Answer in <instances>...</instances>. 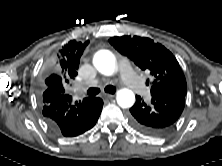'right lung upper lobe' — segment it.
I'll list each match as a JSON object with an SVG mask.
<instances>
[{"label": "right lung upper lobe", "mask_w": 222, "mask_h": 166, "mask_svg": "<svg viewBox=\"0 0 222 166\" xmlns=\"http://www.w3.org/2000/svg\"><path fill=\"white\" fill-rule=\"evenodd\" d=\"M71 40L55 53L51 60V71L45 79V88H53L65 93L66 84L77 76L80 58L88 45Z\"/></svg>", "instance_id": "obj_1"}]
</instances>
